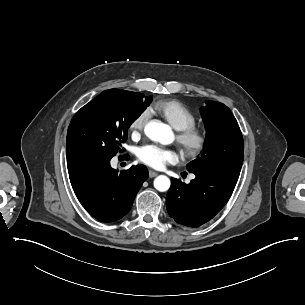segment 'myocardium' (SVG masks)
Returning <instances> with one entry per match:
<instances>
[{
    "mask_svg": "<svg viewBox=\"0 0 305 305\" xmlns=\"http://www.w3.org/2000/svg\"><path fill=\"white\" fill-rule=\"evenodd\" d=\"M177 141L186 157L197 158L206 150L209 135L203 128L193 126L178 130Z\"/></svg>",
    "mask_w": 305,
    "mask_h": 305,
    "instance_id": "obj_1",
    "label": "myocardium"
}]
</instances>
